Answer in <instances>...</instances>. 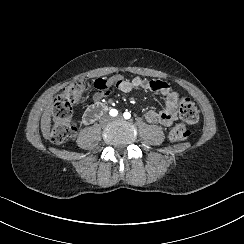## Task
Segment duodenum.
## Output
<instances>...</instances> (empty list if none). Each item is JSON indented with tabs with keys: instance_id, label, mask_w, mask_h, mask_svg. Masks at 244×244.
I'll use <instances>...</instances> for the list:
<instances>
[{
	"instance_id": "1",
	"label": "duodenum",
	"mask_w": 244,
	"mask_h": 244,
	"mask_svg": "<svg viewBox=\"0 0 244 244\" xmlns=\"http://www.w3.org/2000/svg\"><path fill=\"white\" fill-rule=\"evenodd\" d=\"M109 110V106L103 103H96L89 109L92 122L103 116Z\"/></svg>"
}]
</instances>
